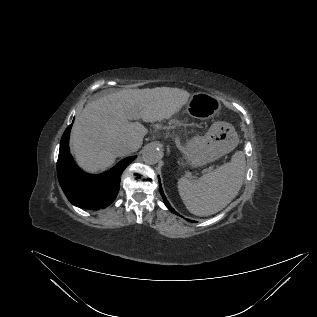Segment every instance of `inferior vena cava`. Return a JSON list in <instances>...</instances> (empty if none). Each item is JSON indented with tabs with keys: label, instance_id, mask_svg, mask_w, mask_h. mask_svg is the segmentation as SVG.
Segmentation results:
<instances>
[{
	"label": "inferior vena cava",
	"instance_id": "inferior-vena-cava-1",
	"mask_svg": "<svg viewBox=\"0 0 317 317\" xmlns=\"http://www.w3.org/2000/svg\"><path fill=\"white\" fill-rule=\"evenodd\" d=\"M137 149L136 144L132 142H124L118 147V152L121 155L130 154L131 152H135Z\"/></svg>",
	"mask_w": 317,
	"mask_h": 317
}]
</instances>
